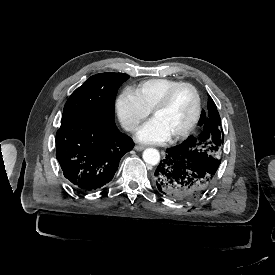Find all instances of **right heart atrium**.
Wrapping results in <instances>:
<instances>
[{
	"mask_svg": "<svg viewBox=\"0 0 275 275\" xmlns=\"http://www.w3.org/2000/svg\"><path fill=\"white\" fill-rule=\"evenodd\" d=\"M116 109L123 127L129 132L135 131L150 114L135 92L130 89L120 94Z\"/></svg>",
	"mask_w": 275,
	"mask_h": 275,
	"instance_id": "1",
	"label": "right heart atrium"
}]
</instances>
